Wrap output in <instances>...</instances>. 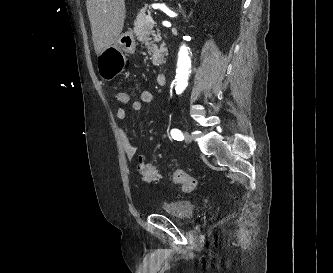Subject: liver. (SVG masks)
Here are the masks:
<instances>
[{
	"label": "liver",
	"mask_w": 333,
	"mask_h": 273,
	"mask_svg": "<svg viewBox=\"0 0 333 273\" xmlns=\"http://www.w3.org/2000/svg\"><path fill=\"white\" fill-rule=\"evenodd\" d=\"M94 49L99 56L120 36L125 20V0H87Z\"/></svg>",
	"instance_id": "liver-1"
}]
</instances>
